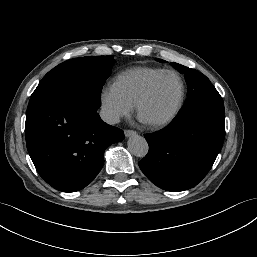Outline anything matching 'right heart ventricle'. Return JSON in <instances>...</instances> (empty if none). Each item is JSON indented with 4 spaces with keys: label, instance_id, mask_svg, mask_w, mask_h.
Returning <instances> with one entry per match:
<instances>
[{
    "label": "right heart ventricle",
    "instance_id": "e07e8e85",
    "mask_svg": "<svg viewBox=\"0 0 257 257\" xmlns=\"http://www.w3.org/2000/svg\"><path fill=\"white\" fill-rule=\"evenodd\" d=\"M165 69L155 67H134L120 73L113 86L132 105L136 102L147 84Z\"/></svg>",
    "mask_w": 257,
    "mask_h": 257
}]
</instances>
